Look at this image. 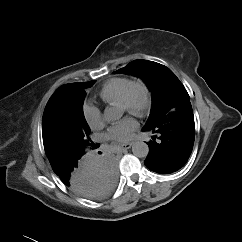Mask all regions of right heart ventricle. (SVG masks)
Instances as JSON below:
<instances>
[{"mask_svg":"<svg viewBox=\"0 0 242 242\" xmlns=\"http://www.w3.org/2000/svg\"><path fill=\"white\" fill-rule=\"evenodd\" d=\"M131 81L128 77H116L108 80L99 90L100 98L107 104H119Z\"/></svg>","mask_w":242,"mask_h":242,"instance_id":"right-heart-ventricle-1","label":"right heart ventricle"}]
</instances>
